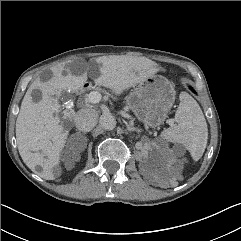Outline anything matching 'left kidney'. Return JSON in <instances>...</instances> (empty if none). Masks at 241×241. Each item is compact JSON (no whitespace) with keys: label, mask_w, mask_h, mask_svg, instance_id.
<instances>
[{"label":"left kidney","mask_w":241,"mask_h":241,"mask_svg":"<svg viewBox=\"0 0 241 241\" xmlns=\"http://www.w3.org/2000/svg\"><path fill=\"white\" fill-rule=\"evenodd\" d=\"M151 148H157V146L155 144L148 145V149H151Z\"/></svg>","instance_id":"1"}]
</instances>
